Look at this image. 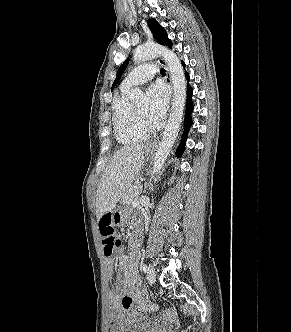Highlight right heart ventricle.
<instances>
[{"label":"right heart ventricle","instance_id":"obj_1","mask_svg":"<svg viewBox=\"0 0 291 332\" xmlns=\"http://www.w3.org/2000/svg\"><path fill=\"white\" fill-rule=\"evenodd\" d=\"M128 90L122 88L112 104V124L116 140L124 145L144 141L147 133L143 130L135 115V108L128 100Z\"/></svg>","mask_w":291,"mask_h":332}]
</instances>
